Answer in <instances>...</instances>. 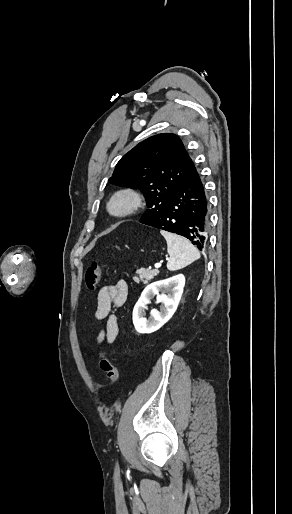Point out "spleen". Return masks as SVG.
Masks as SVG:
<instances>
[{
	"mask_svg": "<svg viewBox=\"0 0 292 514\" xmlns=\"http://www.w3.org/2000/svg\"><path fill=\"white\" fill-rule=\"evenodd\" d=\"M160 234L164 236L167 242V252L170 256L167 268L170 272L186 268L195 260H199V250L191 242H188L186 238L177 236V234H170V232H164V230H161Z\"/></svg>",
	"mask_w": 292,
	"mask_h": 514,
	"instance_id": "spleen-1",
	"label": "spleen"
}]
</instances>
